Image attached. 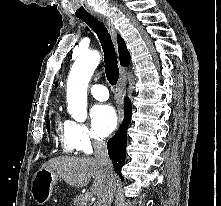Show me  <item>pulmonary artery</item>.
<instances>
[{"instance_id": "e3ab8cb5", "label": "pulmonary artery", "mask_w": 221, "mask_h": 206, "mask_svg": "<svg viewBox=\"0 0 221 206\" xmlns=\"http://www.w3.org/2000/svg\"><path fill=\"white\" fill-rule=\"evenodd\" d=\"M90 92L92 96L99 101H105L109 97L108 89L103 85H93Z\"/></svg>"}]
</instances>
